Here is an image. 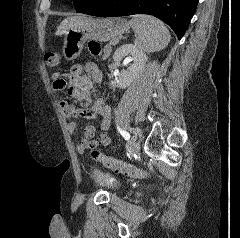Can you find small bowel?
Returning <instances> with one entry per match:
<instances>
[{
    "mask_svg": "<svg viewBox=\"0 0 240 238\" xmlns=\"http://www.w3.org/2000/svg\"><path fill=\"white\" fill-rule=\"evenodd\" d=\"M102 80L101 71L94 63L90 62L83 66L79 64L72 66L68 77L60 72L54 73L51 77V88L53 91L63 90L68 87V92L73 98L85 101L91 105L90 108L83 109L67 100L59 102L71 135L77 131V117L93 119L98 122V129L101 133L97 137V128L94 125H87L84 128L83 135L76 146V151L80 154L88 148L105 146L110 143L107 131L110 127L113 107L103 98L93 101L90 94L93 84H101Z\"/></svg>",
    "mask_w": 240,
    "mask_h": 238,
    "instance_id": "1",
    "label": "small bowel"
}]
</instances>
